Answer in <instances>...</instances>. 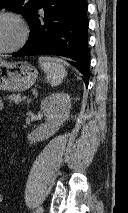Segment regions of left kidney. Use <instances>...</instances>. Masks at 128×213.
<instances>
[{
	"label": "left kidney",
	"mask_w": 128,
	"mask_h": 213,
	"mask_svg": "<svg viewBox=\"0 0 128 213\" xmlns=\"http://www.w3.org/2000/svg\"><path fill=\"white\" fill-rule=\"evenodd\" d=\"M41 111L47 122L41 124L27 138L31 144L46 140L53 136L68 119L71 109V98L67 93H54L41 103Z\"/></svg>",
	"instance_id": "1"
}]
</instances>
